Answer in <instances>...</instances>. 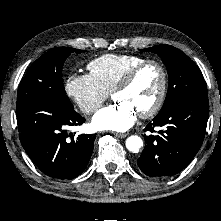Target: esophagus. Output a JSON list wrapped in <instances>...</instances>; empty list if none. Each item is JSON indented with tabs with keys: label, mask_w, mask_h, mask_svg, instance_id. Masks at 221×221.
<instances>
[{
	"label": "esophagus",
	"mask_w": 221,
	"mask_h": 221,
	"mask_svg": "<svg viewBox=\"0 0 221 221\" xmlns=\"http://www.w3.org/2000/svg\"><path fill=\"white\" fill-rule=\"evenodd\" d=\"M115 136L119 137V138H125L128 134L126 133H114Z\"/></svg>",
	"instance_id": "obj_1"
}]
</instances>
